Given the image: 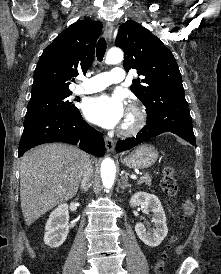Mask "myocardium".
I'll return each mask as SVG.
<instances>
[{"label":"myocardium","instance_id":"f54148a6","mask_svg":"<svg viewBox=\"0 0 221 274\" xmlns=\"http://www.w3.org/2000/svg\"><path fill=\"white\" fill-rule=\"evenodd\" d=\"M145 123V110L137 103H130L127 108V117L121 126V133L124 135H134L143 128Z\"/></svg>","mask_w":221,"mask_h":274}]
</instances>
